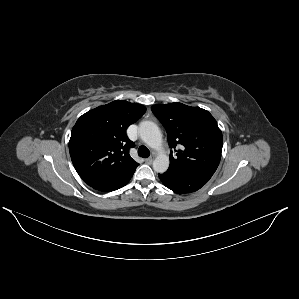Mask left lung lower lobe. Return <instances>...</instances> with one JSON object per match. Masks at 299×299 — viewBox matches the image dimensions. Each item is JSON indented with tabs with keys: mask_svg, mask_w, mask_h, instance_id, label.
<instances>
[{
	"mask_svg": "<svg viewBox=\"0 0 299 299\" xmlns=\"http://www.w3.org/2000/svg\"><path fill=\"white\" fill-rule=\"evenodd\" d=\"M162 183L176 193H191L205 185L211 176L202 174L175 175L168 172L159 174Z\"/></svg>",
	"mask_w": 299,
	"mask_h": 299,
	"instance_id": "1",
	"label": "left lung lower lobe"
}]
</instances>
